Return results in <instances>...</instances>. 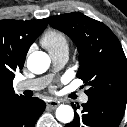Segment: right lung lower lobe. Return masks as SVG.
<instances>
[{
  "instance_id": "obj_1",
  "label": "right lung lower lobe",
  "mask_w": 127,
  "mask_h": 127,
  "mask_svg": "<svg viewBox=\"0 0 127 127\" xmlns=\"http://www.w3.org/2000/svg\"><path fill=\"white\" fill-rule=\"evenodd\" d=\"M45 106L36 97L20 96L0 110V127H34Z\"/></svg>"
}]
</instances>
